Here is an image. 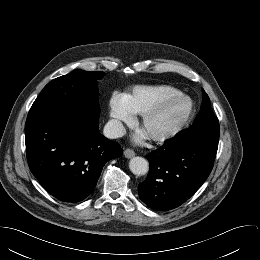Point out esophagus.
<instances>
[{
  "label": "esophagus",
  "instance_id": "1",
  "mask_svg": "<svg viewBox=\"0 0 260 260\" xmlns=\"http://www.w3.org/2000/svg\"><path fill=\"white\" fill-rule=\"evenodd\" d=\"M124 156L126 158H132L133 156H135V152L132 149H125Z\"/></svg>",
  "mask_w": 260,
  "mask_h": 260
}]
</instances>
